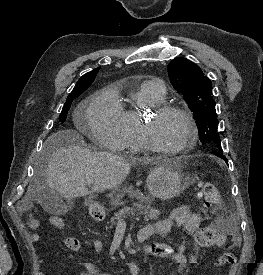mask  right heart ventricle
<instances>
[{
  "label": "right heart ventricle",
  "mask_w": 263,
  "mask_h": 275,
  "mask_svg": "<svg viewBox=\"0 0 263 275\" xmlns=\"http://www.w3.org/2000/svg\"><path fill=\"white\" fill-rule=\"evenodd\" d=\"M164 96L148 83L141 84L130 95V105L119 104V125L122 135V149L131 153L144 151L145 145L140 133L143 110L162 103Z\"/></svg>",
  "instance_id": "obj_1"
}]
</instances>
